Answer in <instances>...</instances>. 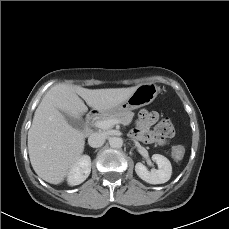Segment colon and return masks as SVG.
Returning <instances> with one entry per match:
<instances>
[{
  "label": "colon",
  "instance_id": "obj_1",
  "mask_svg": "<svg viewBox=\"0 0 229 229\" xmlns=\"http://www.w3.org/2000/svg\"><path fill=\"white\" fill-rule=\"evenodd\" d=\"M174 135V126L170 119H162L155 127L153 132V138L161 144L167 143L168 140ZM184 150L182 148H176L173 150V157L179 160L183 157Z\"/></svg>",
  "mask_w": 229,
  "mask_h": 229
}]
</instances>
